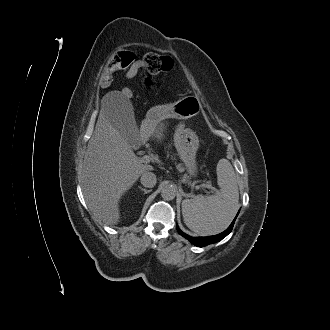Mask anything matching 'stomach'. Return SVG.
I'll return each mask as SVG.
<instances>
[{
    "label": "stomach",
    "instance_id": "0dacf381",
    "mask_svg": "<svg viewBox=\"0 0 330 330\" xmlns=\"http://www.w3.org/2000/svg\"><path fill=\"white\" fill-rule=\"evenodd\" d=\"M202 105L198 97L189 95L162 109L166 117L188 119L200 113ZM174 144L178 155L185 166L190 178L196 177L198 167L196 153L199 148V139L194 131L180 124L174 134Z\"/></svg>",
    "mask_w": 330,
    "mask_h": 330
}]
</instances>
